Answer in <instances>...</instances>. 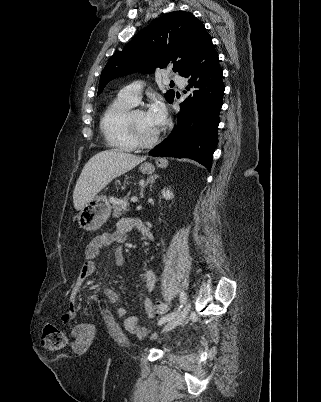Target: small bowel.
Returning <instances> with one entry per match:
<instances>
[{
    "label": "small bowel",
    "mask_w": 321,
    "mask_h": 402,
    "mask_svg": "<svg viewBox=\"0 0 321 402\" xmlns=\"http://www.w3.org/2000/svg\"><path fill=\"white\" fill-rule=\"evenodd\" d=\"M133 229L140 231L148 239L153 238L151 230L138 220L121 219L117 222L113 232H106L94 237L86 247L85 257L86 263L80 272L77 283L81 284L86 279L94 276L98 272V264L96 260L100 257L102 251L114 244H122L126 241L127 235ZM124 258L120 249H116L111 255V267L118 269L123 265ZM145 286L148 290H153L156 286L157 275L153 269H147L144 273ZM105 294L112 305L120 304V296L113 288H106ZM143 307L148 317L152 318L156 312L150 298L143 300ZM77 315V310L73 306H69L67 311L62 315V322L65 326L70 327V345L73 348L72 356L74 358H83L87 351L91 335L95 334V323L73 324ZM117 315L122 318L124 328L135 335L145 336L146 329L141 326L137 316L129 315V310L125 307H118Z\"/></svg>",
    "instance_id": "small-bowel-1"
}]
</instances>
